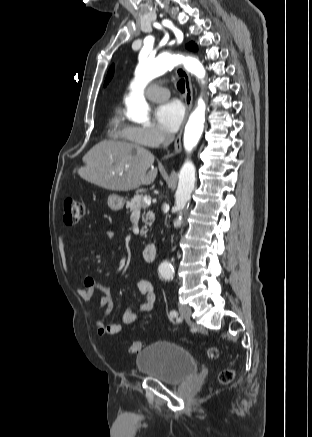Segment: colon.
Returning <instances> with one entry per match:
<instances>
[{
    "mask_svg": "<svg viewBox=\"0 0 312 437\" xmlns=\"http://www.w3.org/2000/svg\"><path fill=\"white\" fill-rule=\"evenodd\" d=\"M84 215V204L81 201L73 198L64 200V221L68 225L76 224ZM141 343L134 341L130 345L129 353L137 354L141 351ZM208 357L216 359L218 357V350L216 347H210L207 351ZM234 378V371L230 368H225L220 371L218 379L221 384H229Z\"/></svg>",
    "mask_w": 312,
    "mask_h": 437,
    "instance_id": "obj_1",
    "label": "colon"
}]
</instances>
